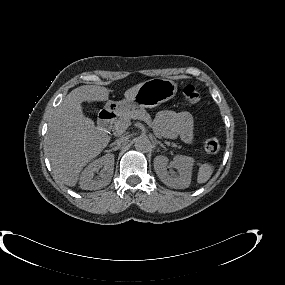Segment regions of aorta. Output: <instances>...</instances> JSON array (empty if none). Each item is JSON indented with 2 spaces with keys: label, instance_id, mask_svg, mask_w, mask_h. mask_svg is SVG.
I'll list each match as a JSON object with an SVG mask.
<instances>
[{
  "label": "aorta",
  "instance_id": "1",
  "mask_svg": "<svg viewBox=\"0 0 285 285\" xmlns=\"http://www.w3.org/2000/svg\"><path fill=\"white\" fill-rule=\"evenodd\" d=\"M134 146L140 152H148L151 148V142L147 136H139L135 138Z\"/></svg>",
  "mask_w": 285,
  "mask_h": 285
}]
</instances>
